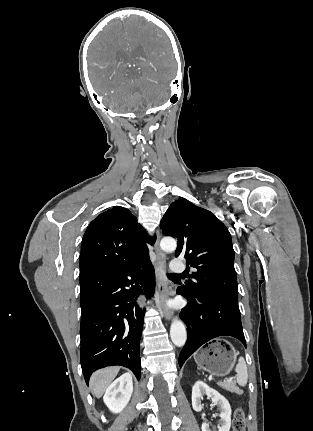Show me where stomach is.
Listing matches in <instances>:
<instances>
[{"mask_svg":"<svg viewBox=\"0 0 313 431\" xmlns=\"http://www.w3.org/2000/svg\"><path fill=\"white\" fill-rule=\"evenodd\" d=\"M237 353L234 347L227 341L215 339L194 355L198 367L212 373L214 376L223 377L230 373Z\"/></svg>","mask_w":313,"mask_h":431,"instance_id":"obj_1","label":"stomach"}]
</instances>
